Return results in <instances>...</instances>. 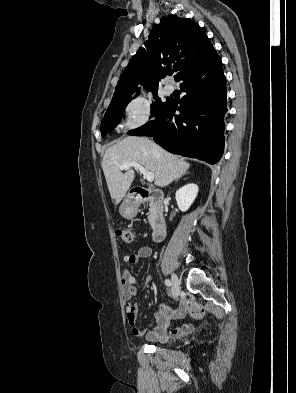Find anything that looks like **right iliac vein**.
<instances>
[{
	"label": "right iliac vein",
	"instance_id": "63e3f726",
	"mask_svg": "<svg viewBox=\"0 0 296 393\" xmlns=\"http://www.w3.org/2000/svg\"><path fill=\"white\" fill-rule=\"evenodd\" d=\"M171 280H172V291L174 296H178L179 292H180V281L177 277L176 274H172L171 276Z\"/></svg>",
	"mask_w": 296,
	"mask_h": 393
}]
</instances>
